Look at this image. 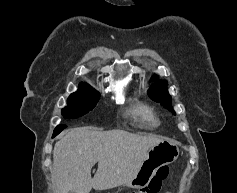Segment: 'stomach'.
Returning <instances> with one entry per match:
<instances>
[{
	"mask_svg": "<svg viewBox=\"0 0 237 193\" xmlns=\"http://www.w3.org/2000/svg\"><path fill=\"white\" fill-rule=\"evenodd\" d=\"M178 156V146L170 140H162L147 151L138 172L126 186L135 189L145 187L160 167L174 162Z\"/></svg>",
	"mask_w": 237,
	"mask_h": 193,
	"instance_id": "1",
	"label": "stomach"
}]
</instances>
